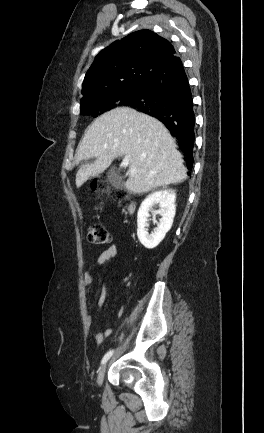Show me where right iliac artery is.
Returning a JSON list of instances; mask_svg holds the SVG:
<instances>
[{"instance_id": "obj_1", "label": "right iliac artery", "mask_w": 264, "mask_h": 433, "mask_svg": "<svg viewBox=\"0 0 264 433\" xmlns=\"http://www.w3.org/2000/svg\"><path fill=\"white\" fill-rule=\"evenodd\" d=\"M113 352H114V350H110L109 352H107V353L104 355V357H103V359H102V361H101V364L106 363V362L110 359V357L113 355Z\"/></svg>"}]
</instances>
